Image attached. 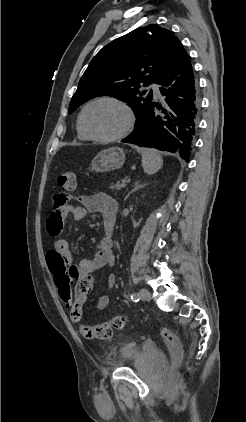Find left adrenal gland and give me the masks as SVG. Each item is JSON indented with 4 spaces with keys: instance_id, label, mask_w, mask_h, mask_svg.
I'll return each instance as SVG.
<instances>
[{
    "instance_id": "a2214340",
    "label": "left adrenal gland",
    "mask_w": 246,
    "mask_h": 422,
    "mask_svg": "<svg viewBox=\"0 0 246 422\" xmlns=\"http://www.w3.org/2000/svg\"><path fill=\"white\" fill-rule=\"evenodd\" d=\"M146 184H142L140 182H135L133 185V189L125 196L124 200H126L132 192H135L141 188H143Z\"/></svg>"
}]
</instances>
